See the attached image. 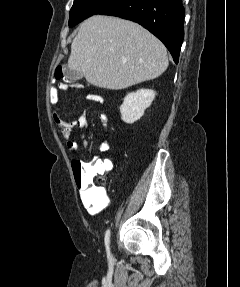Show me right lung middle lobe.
I'll use <instances>...</instances> for the list:
<instances>
[{
  "instance_id": "1",
  "label": "right lung middle lobe",
  "mask_w": 240,
  "mask_h": 287,
  "mask_svg": "<svg viewBox=\"0 0 240 287\" xmlns=\"http://www.w3.org/2000/svg\"><path fill=\"white\" fill-rule=\"evenodd\" d=\"M107 0H74L69 14V27L92 16Z\"/></svg>"
}]
</instances>
